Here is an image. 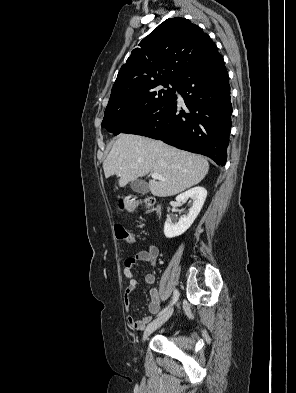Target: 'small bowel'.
<instances>
[{"label": "small bowel", "instance_id": "obj_1", "mask_svg": "<svg viewBox=\"0 0 296 393\" xmlns=\"http://www.w3.org/2000/svg\"><path fill=\"white\" fill-rule=\"evenodd\" d=\"M158 257L159 248L155 245H151L147 249L141 250L134 256H130L125 259L123 264V273L129 279V285L124 294V306L127 311L130 310L132 297L140 289V284L134 273L135 265L140 262H147L152 266H156ZM155 280L156 274L154 271L148 272L144 276V281L148 285L154 284ZM149 294L150 302L148 305V310L150 313L155 314L159 311L162 304L160 291L157 288H152ZM127 322L133 330L141 331L147 328V326L151 323V318L149 316L136 318L132 315H128Z\"/></svg>", "mask_w": 296, "mask_h": 393}]
</instances>
